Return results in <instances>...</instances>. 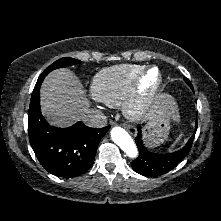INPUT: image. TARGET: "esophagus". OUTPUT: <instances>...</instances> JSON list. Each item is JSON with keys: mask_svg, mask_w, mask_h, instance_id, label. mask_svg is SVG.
Listing matches in <instances>:
<instances>
[{"mask_svg": "<svg viewBox=\"0 0 221 221\" xmlns=\"http://www.w3.org/2000/svg\"><path fill=\"white\" fill-rule=\"evenodd\" d=\"M124 128L127 129L131 135L135 136L137 134L136 129H134L133 127H130L128 125H124Z\"/></svg>", "mask_w": 221, "mask_h": 221, "instance_id": "esophagus-1", "label": "esophagus"}]
</instances>
